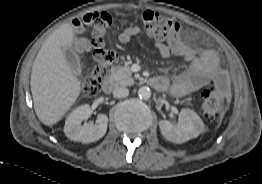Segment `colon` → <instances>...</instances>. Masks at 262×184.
<instances>
[{"label": "colon", "instance_id": "1", "mask_svg": "<svg viewBox=\"0 0 262 184\" xmlns=\"http://www.w3.org/2000/svg\"><path fill=\"white\" fill-rule=\"evenodd\" d=\"M146 33L157 41L168 40L178 34L181 25L178 21L154 11H145L140 16ZM80 23L91 28L93 60L91 68L85 72L82 84L84 95H97L103 81L109 74L110 67L116 63L117 54L105 45V36L111 26V16L105 12H90L82 16ZM229 86L228 75L220 71L213 87L204 89L199 98L200 111L205 119L215 120L221 114L222 97Z\"/></svg>", "mask_w": 262, "mask_h": 184}]
</instances>
